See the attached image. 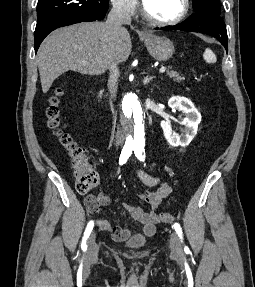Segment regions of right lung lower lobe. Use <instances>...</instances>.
<instances>
[{
  "label": "right lung lower lobe",
  "mask_w": 255,
  "mask_h": 287,
  "mask_svg": "<svg viewBox=\"0 0 255 287\" xmlns=\"http://www.w3.org/2000/svg\"><path fill=\"white\" fill-rule=\"evenodd\" d=\"M96 19L91 18L90 16L80 14V13H71L56 16L41 22H38L35 29L34 36V49L35 53L37 52L39 45L43 39L53 30L59 27L83 22V21H95Z\"/></svg>",
  "instance_id": "right-lung-lower-lobe-1"
}]
</instances>
